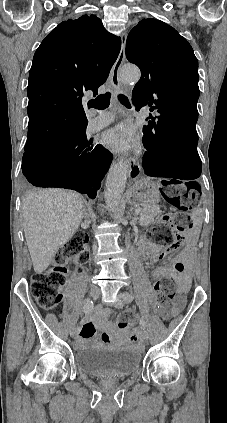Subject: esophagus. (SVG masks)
<instances>
[{"label":"esophagus","instance_id":"1","mask_svg":"<svg viewBox=\"0 0 227 423\" xmlns=\"http://www.w3.org/2000/svg\"><path fill=\"white\" fill-rule=\"evenodd\" d=\"M127 33L123 32L121 35V49L119 56L113 65L110 72V82L115 90L121 89V83L119 79V71L125 60V45H126ZM129 142H124V147H129ZM141 174V167L136 157L129 156L128 158V176L131 180H136Z\"/></svg>","mask_w":227,"mask_h":423}]
</instances>
